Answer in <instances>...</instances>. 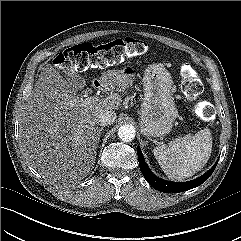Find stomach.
Returning a JSON list of instances; mask_svg holds the SVG:
<instances>
[{"label":"stomach","instance_id":"stomach-1","mask_svg":"<svg viewBox=\"0 0 241 241\" xmlns=\"http://www.w3.org/2000/svg\"><path fill=\"white\" fill-rule=\"evenodd\" d=\"M112 76L117 78L120 86H126L132 81L134 71L126 67ZM143 88L144 98L139 113L141 133L147 138L164 136L171 131L178 116L172 96V77L162 66H149L144 72Z\"/></svg>","mask_w":241,"mask_h":241}]
</instances>
